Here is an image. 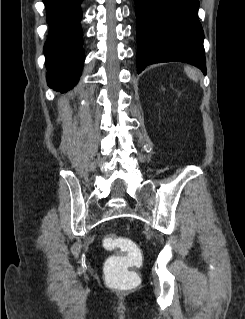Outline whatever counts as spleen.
Segmentation results:
<instances>
[{"instance_id": "obj_1", "label": "spleen", "mask_w": 245, "mask_h": 319, "mask_svg": "<svg viewBox=\"0 0 245 319\" xmlns=\"http://www.w3.org/2000/svg\"><path fill=\"white\" fill-rule=\"evenodd\" d=\"M185 73L187 74V76L192 79L193 81L197 82L199 79V73L196 69L186 66L184 67Z\"/></svg>"}]
</instances>
